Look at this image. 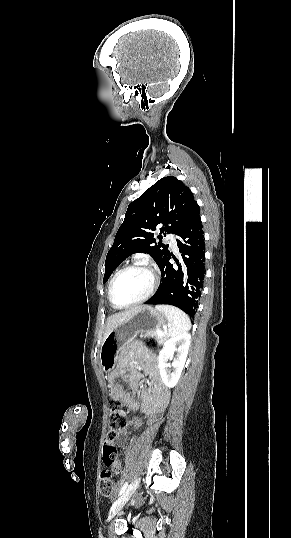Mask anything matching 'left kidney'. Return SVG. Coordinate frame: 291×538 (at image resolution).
Listing matches in <instances>:
<instances>
[{
  "label": "left kidney",
  "instance_id": "5707ae66",
  "mask_svg": "<svg viewBox=\"0 0 291 538\" xmlns=\"http://www.w3.org/2000/svg\"><path fill=\"white\" fill-rule=\"evenodd\" d=\"M190 340L191 335L187 332L170 338L164 342L163 348L159 353V372L163 383L169 388L174 387L181 376L187 358ZM175 351L177 352L176 357L173 356ZM168 359H172V372L168 369L171 366L167 363Z\"/></svg>",
  "mask_w": 291,
  "mask_h": 538
}]
</instances>
